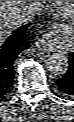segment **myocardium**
<instances>
[{"label":"myocardium","instance_id":"f54148a6","mask_svg":"<svg viewBox=\"0 0 74 122\" xmlns=\"http://www.w3.org/2000/svg\"><path fill=\"white\" fill-rule=\"evenodd\" d=\"M52 9L57 14L70 15L74 12V1H51Z\"/></svg>","mask_w":74,"mask_h":122}]
</instances>
